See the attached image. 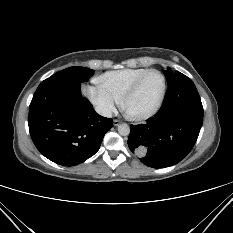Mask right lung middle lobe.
Wrapping results in <instances>:
<instances>
[{
	"label": "right lung middle lobe",
	"instance_id": "dd1d6c3e",
	"mask_svg": "<svg viewBox=\"0 0 233 233\" xmlns=\"http://www.w3.org/2000/svg\"><path fill=\"white\" fill-rule=\"evenodd\" d=\"M94 75V70L85 67H69L52 75L51 78H61L78 83L88 80Z\"/></svg>",
	"mask_w": 233,
	"mask_h": 233
}]
</instances>
